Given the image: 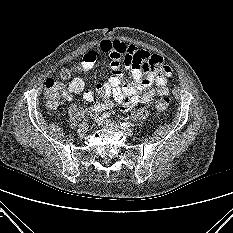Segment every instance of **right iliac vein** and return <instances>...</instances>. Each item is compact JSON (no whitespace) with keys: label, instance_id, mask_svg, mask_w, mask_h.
<instances>
[{"label":"right iliac vein","instance_id":"1","mask_svg":"<svg viewBox=\"0 0 233 233\" xmlns=\"http://www.w3.org/2000/svg\"><path fill=\"white\" fill-rule=\"evenodd\" d=\"M88 130V121L84 120L83 123L78 128V135L83 137Z\"/></svg>","mask_w":233,"mask_h":233}]
</instances>
